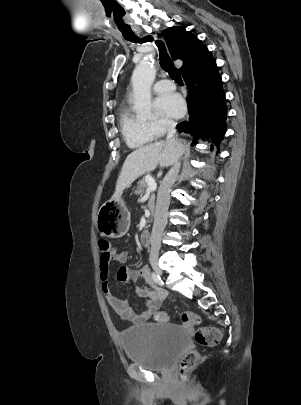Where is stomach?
<instances>
[{
    "label": "stomach",
    "mask_w": 301,
    "mask_h": 405,
    "mask_svg": "<svg viewBox=\"0 0 301 405\" xmlns=\"http://www.w3.org/2000/svg\"><path fill=\"white\" fill-rule=\"evenodd\" d=\"M96 227L108 238L124 236L130 227V213L121 195L104 203L98 210Z\"/></svg>",
    "instance_id": "0dacf381"
}]
</instances>
